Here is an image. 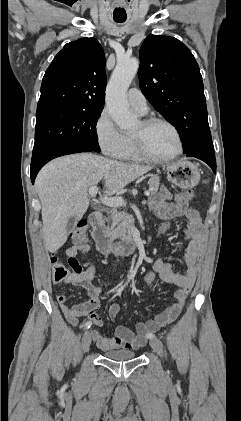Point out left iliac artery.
Instances as JSON below:
<instances>
[{
  "instance_id": "1",
  "label": "left iliac artery",
  "mask_w": 241,
  "mask_h": 421,
  "mask_svg": "<svg viewBox=\"0 0 241 421\" xmlns=\"http://www.w3.org/2000/svg\"><path fill=\"white\" fill-rule=\"evenodd\" d=\"M154 338V336H151L150 339Z\"/></svg>"
}]
</instances>
